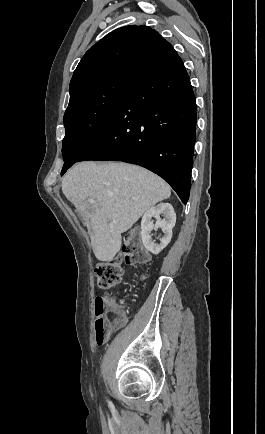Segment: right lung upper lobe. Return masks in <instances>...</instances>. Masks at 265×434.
Here are the masks:
<instances>
[{
    "label": "right lung upper lobe",
    "instance_id": "right-lung-upper-lobe-1",
    "mask_svg": "<svg viewBox=\"0 0 265 434\" xmlns=\"http://www.w3.org/2000/svg\"><path fill=\"white\" fill-rule=\"evenodd\" d=\"M172 46L148 26L118 28L93 45L74 71L70 89L111 75L141 73Z\"/></svg>",
    "mask_w": 265,
    "mask_h": 434
}]
</instances>
